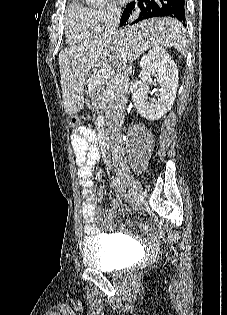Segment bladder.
Instances as JSON below:
<instances>
[{
	"instance_id": "1",
	"label": "bladder",
	"mask_w": 227,
	"mask_h": 315,
	"mask_svg": "<svg viewBox=\"0 0 227 315\" xmlns=\"http://www.w3.org/2000/svg\"><path fill=\"white\" fill-rule=\"evenodd\" d=\"M130 252V243L117 235L86 237L82 244L85 265L101 271H112L124 267L123 261Z\"/></svg>"
}]
</instances>
